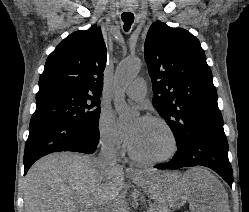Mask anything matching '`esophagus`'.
<instances>
[{"label": "esophagus", "mask_w": 249, "mask_h": 212, "mask_svg": "<svg viewBox=\"0 0 249 212\" xmlns=\"http://www.w3.org/2000/svg\"><path fill=\"white\" fill-rule=\"evenodd\" d=\"M125 172L129 173V175H139V172L133 166L127 167Z\"/></svg>", "instance_id": "esophagus-1"}]
</instances>
